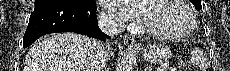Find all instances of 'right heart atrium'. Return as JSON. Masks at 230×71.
<instances>
[{
  "label": "right heart atrium",
  "instance_id": "right-heart-atrium-1",
  "mask_svg": "<svg viewBox=\"0 0 230 71\" xmlns=\"http://www.w3.org/2000/svg\"><path fill=\"white\" fill-rule=\"evenodd\" d=\"M102 19L108 25L120 26L122 24L121 20L117 16H115V15H113L111 13H103L102 14Z\"/></svg>",
  "mask_w": 230,
  "mask_h": 71
}]
</instances>
